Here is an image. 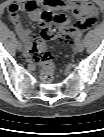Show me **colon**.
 Listing matches in <instances>:
<instances>
[{
	"label": "colon",
	"instance_id": "1",
	"mask_svg": "<svg viewBox=\"0 0 104 137\" xmlns=\"http://www.w3.org/2000/svg\"><path fill=\"white\" fill-rule=\"evenodd\" d=\"M41 26L42 32L40 36L35 39L32 45L31 52L33 59L42 68V79L45 82H50L54 77L55 65L53 61V56L48 50L46 42L54 39L67 41L68 31L65 28L56 25L52 21L51 16L47 13L41 14Z\"/></svg>",
	"mask_w": 104,
	"mask_h": 137
}]
</instances>
